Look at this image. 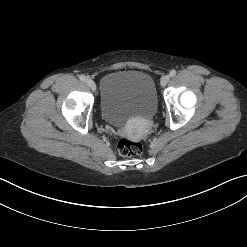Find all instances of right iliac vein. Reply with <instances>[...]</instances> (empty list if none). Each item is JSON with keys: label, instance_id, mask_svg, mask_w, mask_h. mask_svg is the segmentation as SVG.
Returning <instances> with one entry per match:
<instances>
[{"label": "right iliac vein", "instance_id": "63e3f726", "mask_svg": "<svg viewBox=\"0 0 247 247\" xmlns=\"http://www.w3.org/2000/svg\"><path fill=\"white\" fill-rule=\"evenodd\" d=\"M86 83L93 91L96 89L95 82L91 78H87Z\"/></svg>", "mask_w": 247, "mask_h": 247}]
</instances>
